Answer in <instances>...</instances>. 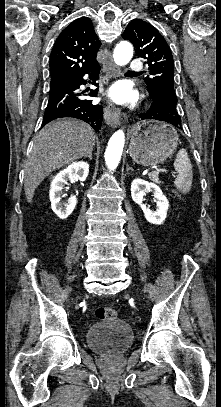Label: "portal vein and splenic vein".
<instances>
[{
	"mask_svg": "<svg viewBox=\"0 0 221 407\" xmlns=\"http://www.w3.org/2000/svg\"><path fill=\"white\" fill-rule=\"evenodd\" d=\"M161 172H168V170L160 168V167H155V170L153 171V174H158V173H161ZM173 174H174V172H172V175Z\"/></svg>",
	"mask_w": 221,
	"mask_h": 407,
	"instance_id": "obj_1",
	"label": "portal vein and splenic vein"
}]
</instances>
